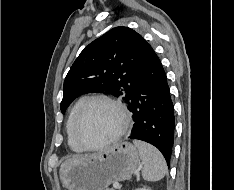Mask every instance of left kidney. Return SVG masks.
<instances>
[{
    "label": "left kidney",
    "mask_w": 234,
    "mask_h": 190,
    "mask_svg": "<svg viewBox=\"0 0 234 190\" xmlns=\"http://www.w3.org/2000/svg\"><path fill=\"white\" fill-rule=\"evenodd\" d=\"M135 190H151V189L144 187V188H138V189H135Z\"/></svg>",
    "instance_id": "5707ae66"
}]
</instances>
